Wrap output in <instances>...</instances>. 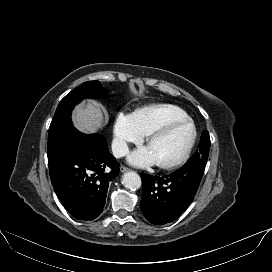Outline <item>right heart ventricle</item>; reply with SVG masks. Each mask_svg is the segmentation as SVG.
<instances>
[{
	"mask_svg": "<svg viewBox=\"0 0 272 272\" xmlns=\"http://www.w3.org/2000/svg\"><path fill=\"white\" fill-rule=\"evenodd\" d=\"M189 118L180 107L172 104H155L138 109L133 113L134 123L142 135L174 119Z\"/></svg>",
	"mask_w": 272,
	"mask_h": 272,
	"instance_id": "right-heart-ventricle-1",
	"label": "right heart ventricle"
}]
</instances>
